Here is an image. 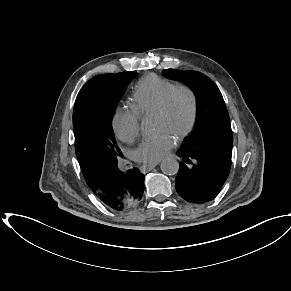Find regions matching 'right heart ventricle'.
<instances>
[{"label":"right heart ventricle","instance_id":"e07e8e85","mask_svg":"<svg viewBox=\"0 0 291 291\" xmlns=\"http://www.w3.org/2000/svg\"><path fill=\"white\" fill-rule=\"evenodd\" d=\"M174 85L173 82L155 74L144 76L134 87L129 103L130 109L139 118L155 113Z\"/></svg>","mask_w":291,"mask_h":291}]
</instances>
